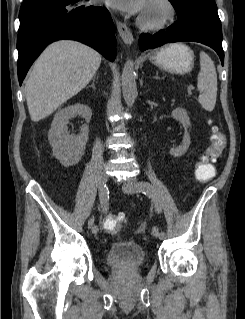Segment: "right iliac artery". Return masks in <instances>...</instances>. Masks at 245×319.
Here are the masks:
<instances>
[{"instance_id": "right-iliac-artery-1", "label": "right iliac artery", "mask_w": 245, "mask_h": 319, "mask_svg": "<svg viewBox=\"0 0 245 319\" xmlns=\"http://www.w3.org/2000/svg\"><path fill=\"white\" fill-rule=\"evenodd\" d=\"M108 200H109V191L105 185L104 192H103L102 196L100 197L101 209L103 211H107V209H108ZM93 222H94V219H93ZM98 230H99L98 226H94L92 231H93V233H97Z\"/></svg>"}]
</instances>
